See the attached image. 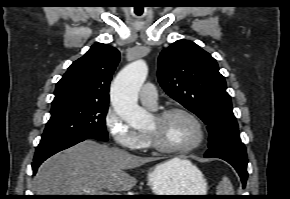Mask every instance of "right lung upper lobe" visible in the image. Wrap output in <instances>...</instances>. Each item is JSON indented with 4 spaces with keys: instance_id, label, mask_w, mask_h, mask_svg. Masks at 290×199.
Returning a JSON list of instances; mask_svg holds the SVG:
<instances>
[{
    "instance_id": "cb5924a9",
    "label": "right lung upper lobe",
    "mask_w": 290,
    "mask_h": 199,
    "mask_svg": "<svg viewBox=\"0 0 290 199\" xmlns=\"http://www.w3.org/2000/svg\"><path fill=\"white\" fill-rule=\"evenodd\" d=\"M119 60L116 48L102 43L92 45L57 83L52 108L74 103L108 104L109 85Z\"/></svg>"
}]
</instances>
